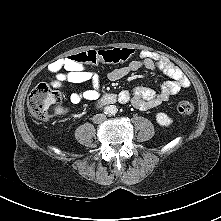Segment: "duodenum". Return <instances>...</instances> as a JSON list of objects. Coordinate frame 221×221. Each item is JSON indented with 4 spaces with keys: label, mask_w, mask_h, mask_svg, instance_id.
<instances>
[{
    "label": "duodenum",
    "mask_w": 221,
    "mask_h": 221,
    "mask_svg": "<svg viewBox=\"0 0 221 221\" xmlns=\"http://www.w3.org/2000/svg\"><path fill=\"white\" fill-rule=\"evenodd\" d=\"M118 100L117 96L115 94L109 93V94H105L101 100L99 101V105L103 106V105H109V104H114L116 103Z\"/></svg>",
    "instance_id": "410a0bca"
}]
</instances>
